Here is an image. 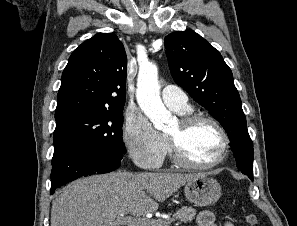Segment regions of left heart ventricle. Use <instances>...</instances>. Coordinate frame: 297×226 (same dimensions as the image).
<instances>
[{
	"instance_id": "obj_1",
	"label": "left heart ventricle",
	"mask_w": 297,
	"mask_h": 226,
	"mask_svg": "<svg viewBox=\"0 0 297 226\" xmlns=\"http://www.w3.org/2000/svg\"><path fill=\"white\" fill-rule=\"evenodd\" d=\"M167 134L179 138L188 157L196 163L207 164L214 161L220 154L223 137L218 129L208 122H201L182 133L176 122Z\"/></svg>"
}]
</instances>
